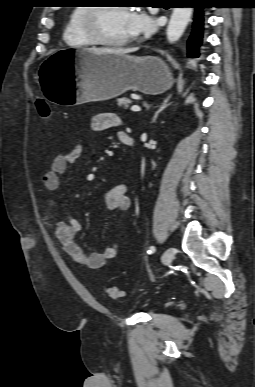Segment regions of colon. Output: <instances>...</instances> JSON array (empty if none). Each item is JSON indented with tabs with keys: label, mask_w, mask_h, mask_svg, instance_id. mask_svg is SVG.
Masks as SVG:
<instances>
[{
	"label": "colon",
	"mask_w": 255,
	"mask_h": 387,
	"mask_svg": "<svg viewBox=\"0 0 255 387\" xmlns=\"http://www.w3.org/2000/svg\"><path fill=\"white\" fill-rule=\"evenodd\" d=\"M36 107L42 118H48L50 116V107L43 99L36 101ZM105 293L112 299H117L121 296V290L117 286H108L105 289Z\"/></svg>",
	"instance_id": "5ec220e1"
}]
</instances>
